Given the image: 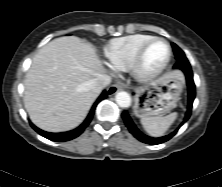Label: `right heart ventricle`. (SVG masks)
Returning <instances> with one entry per match:
<instances>
[{"mask_svg": "<svg viewBox=\"0 0 222 187\" xmlns=\"http://www.w3.org/2000/svg\"><path fill=\"white\" fill-rule=\"evenodd\" d=\"M153 36L134 34L112 39L104 48V55L109 64L118 70L130 69L140 47Z\"/></svg>", "mask_w": 222, "mask_h": 187, "instance_id": "1", "label": "right heart ventricle"}]
</instances>
